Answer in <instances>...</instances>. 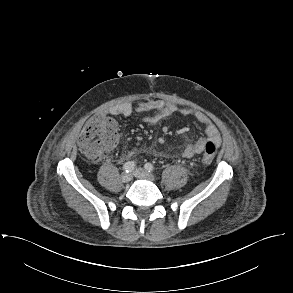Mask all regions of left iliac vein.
Wrapping results in <instances>:
<instances>
[{
    "instance_id": "4c4485c4",
    "label": "left iliac vein",
    "mask_w": 293,
    "mask_h": 293,
    "mask_svg": "<svg viewBox=\"0 0 293 293\" xmlns=\"http://www.w3.org/2000/svg\"><path fill=\"white\" fill-rule=\"evenodd\" d=\"M134 175L137 177V178H140V179H146V180H149V181H154L155 180V177L152 173L142 169V168H136L134 170Z\"/></svg>"
}]
</instances>
